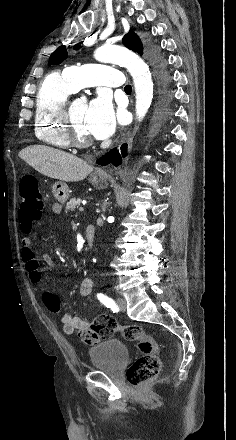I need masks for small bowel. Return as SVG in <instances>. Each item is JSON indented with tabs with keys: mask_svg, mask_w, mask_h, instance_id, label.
Returning <instances> with one entry per match:
<instances>
[{
	"mask_svg": "<svg viewBox=\"0 0 236 440\" xmlns=\"http://www.w3.org/2000/svg\"><path fill=\"white\" fill-rule=\"evenodd\" d=\"M53 212L59 213L61 211V205L55 203L52 207ZM22 252L21 257L25 263L26 269L28 271L31 281L35 284H40L42 281V273L40 270L39 261L35 251L31 247V239L29 237H23L21 240ZM46 263H50L51 259L49 257H44ZM93 288V282L89 277L82 280L79 294L82 298H87ZM52 294L50 292H45L43 294V301L45 304V296ZM62 330L65 334L76 333L79 339H94L97 336L96 331L90 330V322L82 317L71 315L69 313L63 312L61 315ZM88 344H94L97 340L86 341Z\"/></svg>",
	"mask_w": 236,
	"mask_h": 440,
	"instance_id": "c3829d8e",
	"label": "small bowel"
}]
</instances>
